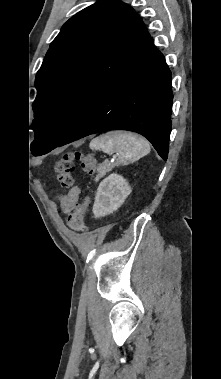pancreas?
I'll return each mask as SVG.
<instances>
[{"mask_svg":"<svg viewBox=\"0 0 221 379\" xmlns=\"http://www.w3.org/2000/svg\"><path fill=\"white\" fill-rule=\"evenodd\" d=\"M115 166L116 164H111L108 162L100 164L97 168L98 174L95 177V181H98L100 178L106 175L107 172H110Z\"/></svg>","mask_w":221,"mask_h":379,"instance_id":"1","label":"pancreas"}]
</instances>
